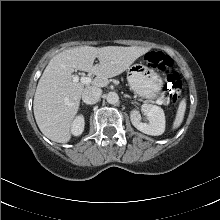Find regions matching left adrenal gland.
Returning a JSON list of instances; mask_svg holds the SVG:
<instances>
[{"instance_id":"1","label":"left adrenal gland","mask_w":220,"mask_h":220,"mask_svg":"<svg viewBox=\"0 0 220 220\" xmlns=\"http://www.w3.org/2000/svg\"><path fill=\"white\" fill-rule=\"evenodd\" d=\"M125 98H131L129 95L125 94L124 95Z\"/></svg>"}]
</instances>
